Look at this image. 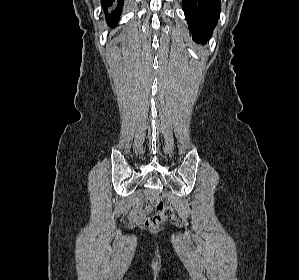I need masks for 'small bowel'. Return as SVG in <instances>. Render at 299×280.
<instances>
[{
    "mask_svg": "<svg viewBox=\"0 0 299 280\" xmlns=\"http://www.w3.org/2000/svg\"><path fill=\"white\" fill-rule=\"evenodd\" d=\"M146 201V197H141L137 203L134 209L131 212V218L135 222H144L147 221V216L151 211L150 207H144Z\"/></svg>",
    "mask_w": 299,
    "mask_h": 280,
    "instance_id": "obj_1",
    "label": "small bowel"
}]
</instances>
